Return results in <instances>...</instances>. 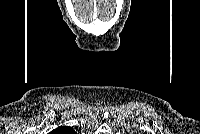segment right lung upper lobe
<instances>
[{
	"label": "right lung upper lobe",
	"mask_w": 200,
	"mask_h": 134,
	"mask_svg": "<svg viewBox=\"0 0 200 134\" xmlns=\"http://www.w3.org/2000/svg\"><path fill=\"white\" fill-rule=\"evenodd\" d=\"M53 134H72L74 131L72 130L71 127L64 126V127H59L55 130L52 131Z\"/></svg>",
	"instance_id": "1"
}]
</instances>
